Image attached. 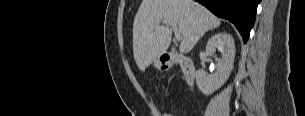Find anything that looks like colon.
I'll use <instances>...</instances> for the list:
<instances>
[{
  "instance_id": "obj_1",
  "label": "colon",
  "mask_w": 305,
  "mask_h": 116,
  "mask_svg": "<svg viewBox=\"0 0 305 116\" xmlns=\"http://www.w3.org/2000/svg\"><path fill=\"white\" fill-rule=\"evenodd\" d=\"M160 116H173V114L168 111H163L161 112Z\"/></svg>"
}]
</instances>
